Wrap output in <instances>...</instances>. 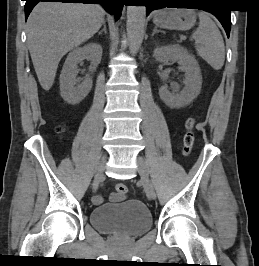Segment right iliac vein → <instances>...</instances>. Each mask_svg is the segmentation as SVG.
<instances>
[{
    "label": "right iliac vein",
    "mask_w": 259,
    "mask_h": 266,
    "mask_svg": "<svg viewBox=\"0 0 259 266\" xmlns=\"http://www.w3.org/2000/svg\"><path fill=\"white\" fill-rule=\"evenodd\" d=\"M105 164H106V155H103L97 166L94 181L92 184L94 191L98 189V186L104 177Z\"/></svg>",
    "instance_id": "63e3f726"
}]
</instances>
